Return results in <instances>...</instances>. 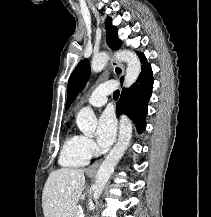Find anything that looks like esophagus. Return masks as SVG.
Returning a JSON list of instances; mask_svg holds the SVG:
<instances>
[{"label": "esophagus", "instance_id": "obj_1", "mask_svg": "<svg viewBox=\"0 0 211 217\" xmlns=\"http://www.w3.org/2000/svg\"><path fill=\"white\" fill-rule=\"evenodd\" d=\"M111 66L115 69L116 67H120V68H122V64L120 63V62H118L113 56H112V58H111ZM101 162H102V159H100V160H98V161H96L95 163H93L91 166H90V170H96L98 167H99V165L101 164Z\"/></svg>", "mask_w": 211, "mask_h": 217}]
</instances>
